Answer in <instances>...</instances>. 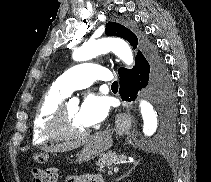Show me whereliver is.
Listing matches in <instances>:
<instances>
[{"label": "liver", "instance_id": "6515ba94", "mask_svg": "<svg viewBox=\"0 0 211 182\" xmlns=\"http://www.w3.org/2000/svg\"><path fill=\"white\" fill-rule=\"evenodd\" d=\"M89 139L85 138L81 141L78 142H68V143H63V144H57V145H51L48 147H43L42 150L47 151V152H64V151H69L72 149H76L86 143Z\"/></svg>", "mask_w": 211, "mask_h": 182}]
</instances>
